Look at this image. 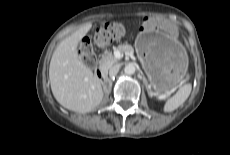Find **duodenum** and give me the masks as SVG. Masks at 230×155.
I'll return each mask as SVG.
<instances>
[{
  "label": "duodenum",
  "mask_w": 230,
  "mask_h": 155,
  "mask_svg": "<svg viewBox=\"0 0 230 155\" xmlns=\"http://www.w3.org/2000/svg\"><path fill=\"white\" fill-rule=\"evenodd\" d=\"M95 74L99 80H101V81L107 80L106 70L104 68H102V67L97 68L95 71Z\"/></svg>",
  "instance_id": "1"
}]
</instances>
